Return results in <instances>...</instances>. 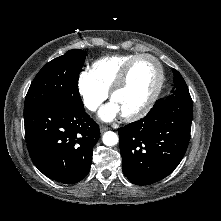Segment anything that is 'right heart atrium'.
I'll use <instances>...</instances> for the list:
<instances>
[{"label": "right heart atrium", "mask_w": 221, "mask_h": 221, "mask_svg": "<svg viewBox=\"0 0 221 221\" xmlns=\"http://www.w3.org/2000/svg\"><path fill=\"white\" fill-rule=\"evenodd\" d=\"M78 91L85 107L96 111L107 99L108 92L101 88L89 72H81L78 78Z\"/></svg>", "instance_id": "obj_1"}]
</instances>
